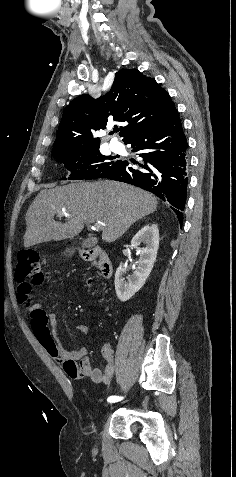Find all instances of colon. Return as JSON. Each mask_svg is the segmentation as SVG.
Returning a JSON list of instances; mask_svg holds the SVG:
<instances>
[{
  "instance_id": "1",
  "label": "colon",
  "mask_w": 236,
  "mask_h": 477,
  "mask_svg": "<svg viewBox=\"0 0 236 477\" xmlns=\"http://www.w3.org/2000/svg\"><path fill=\"white\" fill-rule=\"evenodd\" d=\"M15 277L18 282V299L22 304H27L31 300L32 290L42 285L46 279L37 251L18 253Z\"/></svg>"
}]
</instances>
